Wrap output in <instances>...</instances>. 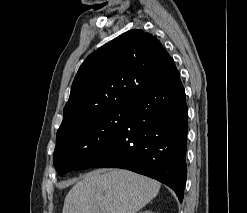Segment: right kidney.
Instances as JSON below:
<instances>
[{"label":"right kidney","mask_w":247,"mask_h":213,"mask_svg":"<svg viewBox=\"0 0 247 213\" xmlns=\"http://www.w3.org/2000/svg\"><path fill=\"white\" fill-rule=\"evenodd\" d=\"M139 213H153V212L149 211V210H146V211H142V212H139Z\"/></svg>","instance_id":"ca27d5eb"}]
</instances>
